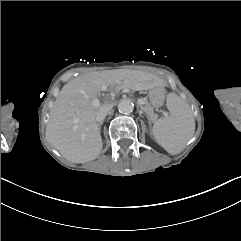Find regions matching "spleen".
<instances>
[{"mask_svg": "<svg viewBox=\"0 0 241 241\" xmlns=\"http://www.w3.org/2000/svg\"><path fill=\"white\" fill-rule=\"evenodd\" d=\"M167 112L169 117L159 118L153 124L152 135L167 153L177 154L191 139L195 122L190 113V105L177 94L168 96ZM177 113V114H176Z\"/></svg>", "mask_w": 241, "mask_h": 241, "instance_id": "3e777b00", "label": "spleen"}]
</instances>
